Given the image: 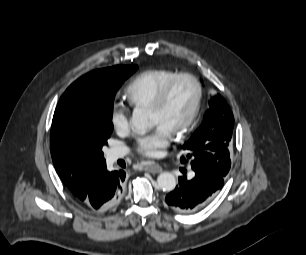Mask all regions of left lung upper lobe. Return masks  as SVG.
Returning a JSON list of instances; mask_svg holds the SVG:
<instances>
[{
	"label": "left lung upper lobe",
	"mask_w": 306,
	"mask_h": 255,
	"mask_svg": "<svg viewBox=\"0 0 306 255\" xmlns=\"http://www.w3.org/2000/svg\"><path fill=\"white\" fill-rule=\"evenodd\" d=\"M209 110L205 114L202 125L184 144L187 154L181 158L191 165H205L226 176L231 165L227 144L231 140L234 127V116L228 104L219 94L211 98Z\"/></svg>",
	"instance_id": "obj_1"
}]
</instances>
